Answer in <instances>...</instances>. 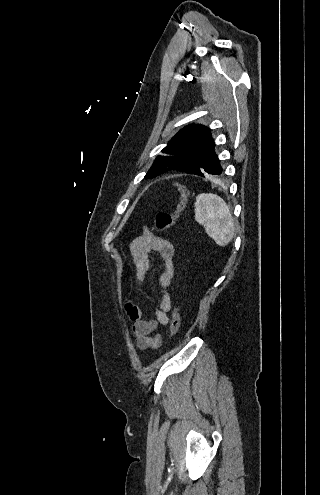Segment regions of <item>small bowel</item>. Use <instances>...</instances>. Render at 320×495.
Segmentation results:
<instances>
[{"label": "small bowel", "instance_id": "c3829d8e", "mask_svg": "<svg viewBox=\"0 0 320 495\" xmlns=\"http://www.w3.org/2000/svg\"><path fill=\"white\" fill-rule=\"evenodd\" d=\"M130 252L136 269V278L141 286L144 285L147 275L152 270V254L159 253L161 257L162 271L158 280L161 301L155 311V319L147 320L143 317V312L139 307L126 305L127 314L133 321L132 332L137 347L141 350L157 349L161 345L162 338L159 334H154L155 329L159 325L166 326L170 322L168 312L172 302L167 288L175 273V248L169 240L158 235L153 227L147 226L142 234L131 242Z\"/></svg>", "mask_w": 320, "mask_h": 495}]
</instances>
